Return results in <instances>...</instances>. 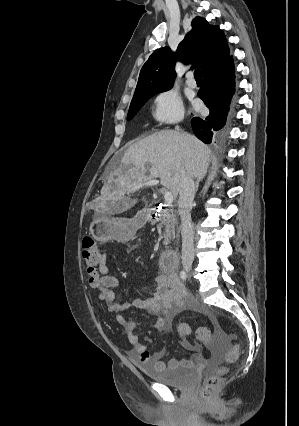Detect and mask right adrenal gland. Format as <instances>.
<instances>
[{
	"label": "right adrenal gland",
	"instance_id": "right-adrenal-gland-1",
	"mask_svg": "<svg viewBox=\"0 0 299 426\" xmlns=\"http://www.w3.org/2000/svg\"><path fill=\"white\" fill-rule=\"evenodd\" d=\"M203 180V177H198L195 181V193H197L198 188H199V184L200 182Z\"/></svg>",
	"mask_w": 299,
	"mask_h": 426
}]
</instances>
